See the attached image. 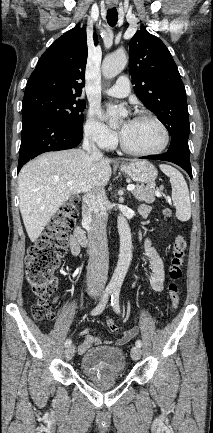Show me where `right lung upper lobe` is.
<instances>
[{
	"instance_id": "right-lung-upper-lobe-1",
	"label": "right lung upper lobe",
	"mask_w": 213,
	"mask_h": 433,
	"mask_svg": "<svg viewBox=\"0 0 213 433\" xmlns=\"http://www.w3.org/2000/svg\"><path fill=\"white\" fill-rule=\"evenodd\" d=\"M94 43H98L94 34ZM85 28L75 27L59 37L40 57L24 96L38 93L80 96L87 62Z\"/></svg>"
}]
</instances>
